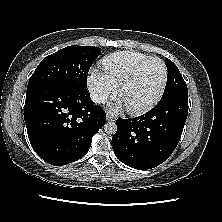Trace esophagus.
I'll list each match as a JSON object with an SVG mask.
<instances>
[{
  "label": "esophagus",
  "instance_id": "34e87169",
  "mask_svg": "<svg viewBox=\"0 0 222 222\" xmlns=\"http://www.w3.org/2000/svg\"><path fill=\"white\" fill-rule=\"evenodd\" d=\"M106 120L108 122H114L116 120V118L114 116L110 115V114H107Z\"/></svg>",
  "mask_w": 222,
  "mask_h": 222
}]
</instances>
